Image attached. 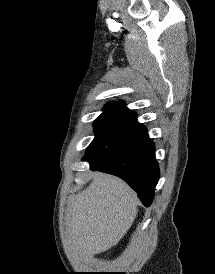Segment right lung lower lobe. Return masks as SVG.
Here are the masks:
<instances>
[{
  "mask_svg": "<svg viewBox=\"0 0 215 274\" xmlns=\"http://www.w3.org/2000/svg\"><path fill=\"white\" fill-rule=\"evenodd\" d=\"M92 170H99L122 178L138 194L145 206H150L159 180V167L155 159V147L147 133L123 155L110 164L94 159H84Z\"/></svg>",
  "mask_w": 215,
  "mask_h": 274,
  "instance_id": "right-lung-lower-lobe-1",
  "label": "right lung lower lobe"
}]
</instances>
